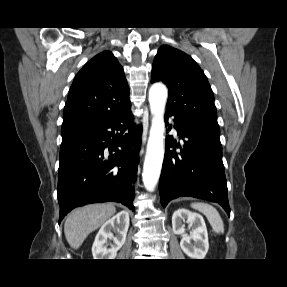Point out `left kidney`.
Masks as SVG:
<instances>
[{
	"label": "left kidney",
	"mask_w": 287,
	"mask_h": 287,
	"mask_svg": "<svg viewBox=\"0 0 287 287\" xmlns=\"http://www.w3.org/2000/svg\"><path fill=\"white\" fill-rule=\"evenodd\" d=\"M194 229L190 235L185 233L184 222ZM172 228L175 234L181 235L180 247L192 259H203L208 252V233L203 217L186 209H178L172 215ZM193 241V242H192Z\"/></svg>",
	"instance_id": "left-kidney-1"
}]
</instances>
